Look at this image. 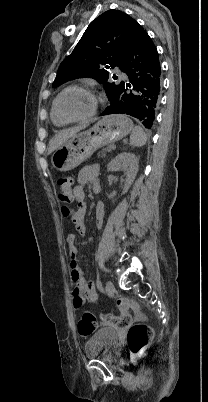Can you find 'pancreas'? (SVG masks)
<instances>
[{"mask_svg": "<svg viewBox=\"0 0 208 402\" xmlns=\"http://www.w3.org/2000/svg\"><path fill=\"white\" fill-rule=\"evenodd\" d=\"M112 146H108V148H103L102 150V156H104L105 152H110Z\"/></svg>", "mask_w": 208, "mask_h": 402, "instance_id": "1", "label": "pancreas"}]
</instances>
